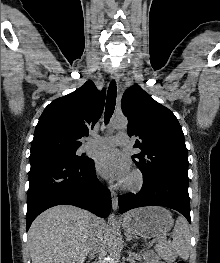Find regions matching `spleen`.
<instances>
[{
  "label": "spleen",
  "instance_id": "spleen-1",
  "mask_svg": "<svg viewBox=\"0 0 220 263\" xmlns=\"http://www.w3.org/2000/svg\"><path fill=\"white\" fill-rule=\"evenodd\" d=\"M170 251L183 260L189 258L190 253V231L187 221L178 217L173 231V240L170 244Z\"/></svg>",
  "mask_w": 220,
  "mask_h": 263
}]
</instances>
